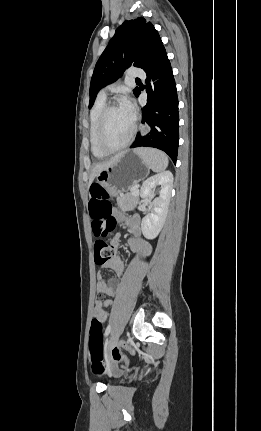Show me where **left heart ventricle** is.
I'll return each instance as SVG.
<instances>
[{"instance_id":"b2bd125f","label":"left heart ventricle","mask_w":261,"mask_h":431,"mask_svg":"<svg viewBox=\"0 0 261 431\" xmlns=\"http://www.w3.org/2000/svg\"><path fill=\"white\" fill-rule=\"evenodd\" d=\"M133 126V116L118 104L108 114L106 119L104 139L108 146L121 145L129 136Z\"/></svg>"}]
</instances>
